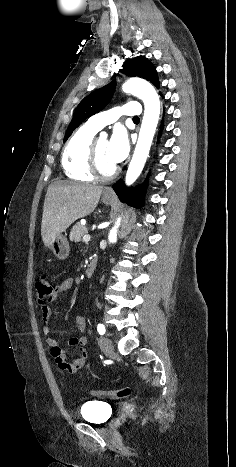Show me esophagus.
<instances>
[{
	"instance_id": "1",
	"label": "esophagus",
	"mask_w": 236,
	"mask_h": 467,
	"mask_svg": "<svg viewBox=\"0 0 236 467\" xmlns=\"http://www.w3.org/2000/svg\"><path fill=\"white\" fill-rule=\"evenodd\" d=\"M105 194L112 196V195H114V192L111 189H108V190H106Z\"/></svg>"
}]
</instances>
